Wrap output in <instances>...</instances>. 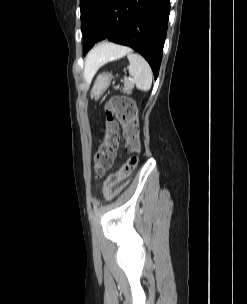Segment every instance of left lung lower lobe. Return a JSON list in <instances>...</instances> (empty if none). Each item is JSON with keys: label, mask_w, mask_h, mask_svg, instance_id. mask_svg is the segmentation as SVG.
Segmentation results:
<instances>
[{"label": "left lung lower lobe", "mask_w": 247, "mask_h": 304, "mask_svg": "<svg viewBox=\"0 0 247 304\" xmlns=\"http://www.w3.org/2000/svg\"><path fill=\"white\" fill-rule=\"evenodd\" d=\"M169 0H105L98 17L83 30L84 54L108 39L138 51L158 76L165 42Z\"/></svg>", "instance_id": "0a47b994"}]
</instances>
